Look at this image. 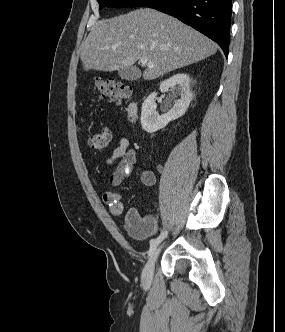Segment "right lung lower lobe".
I'll list each match as a JSON object with an SVG mask.
<instances>
[{
    "label": "right lung lower lobe",
    "instance_id": "right-lung-lower-lobe-1",
    "mask_svg": "<svg viewBox=\"0 0 285 332\" xmlns=\"http://www.w3.org/2000/svg\"><path fill=\"white\" fill-rule=\"evenodd\" d=\"M144 6L174 16L219 44L228 55L232 0H150Z\"/></svg>",
    "mask_w": 285,
    "mask_h": 332
}]
</instances>
